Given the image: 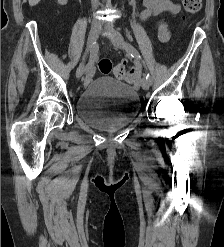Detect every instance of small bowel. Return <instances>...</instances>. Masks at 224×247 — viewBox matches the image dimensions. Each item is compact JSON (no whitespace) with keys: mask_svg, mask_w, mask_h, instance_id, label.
Masks as SVG:
<instances>
[{"mask_svg":"<svg viewBox=\"0 0 224 247\" xmlns=\"http://www.w3.org/2000/svg\"><path fill=\"white\" fill-rule=\"evenodd\" d=\"M143 10L140 17L142 21H146L151 17L158 16L162 13H170L176 15L180 12V5L174 0H143ZM158 37L160 41L166 42L169 37V29L165 22H161L158 25ZM125 67L124 63H121ZM136 73L135 69H131Z\"/></svg>","mask_w":224,"mask_h":247,"instance_id":"obj_1","label":"small bowel"}]
</instances>
